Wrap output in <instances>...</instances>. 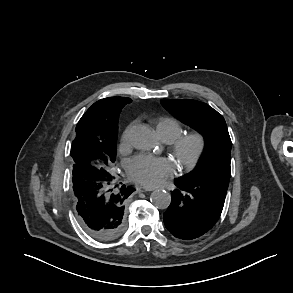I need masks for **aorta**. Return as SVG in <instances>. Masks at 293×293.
I'll use <instances>...</instances> for the list:
<instances>
[{"instance_id":"obj_1","label":"aorta","mask_w":293,"mask_h":293,"mask_svg":"<svg viewBox=\"0 0 293 293\" xmlns=\"http://www.w3.org/2000/svg\"><path fill=\"white\" fill-rule=\"evenodd\" d=\"M130 140L139 150L148 151L154 146V134L145 125L135 126L131 131ZM150 200L155 207L167 209L171 203V196L165 190H156L151 193Z\"/></svg>"}]
</instances>
